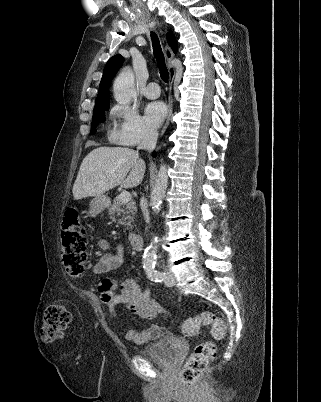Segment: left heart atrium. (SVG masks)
I'll return each mask as SVG.
<instances>
[{
  "mask_svg": "<svg viewBox=\"0 0 321 402\" xmlns=\"http://www.w3.org/2000/svg\"><path fill=\"white\" fill-rule=\"evenodd\" d=\"M166 114V105L160 101L151 102L145 108V119L152 128H157L164 120Z\"/></svg>",
  "mask_w": 321,
  "mask_h": 402,
  "instance_id": "1",
  "label": "left heart atrium"
}]
</instances>
